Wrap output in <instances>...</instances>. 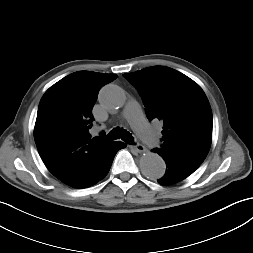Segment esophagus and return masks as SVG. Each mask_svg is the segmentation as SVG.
Masks as SVG:
<instances>
[{
  "label": "esophagus",
  "mask_w": 253,
  "mask_h": 253,
  "mask_svg": "<svg viewBox=\"0 0 253 253\" xmlns=\"http://www.w3.org/2000/svg\"><path fill=\"white\" fill-rule=\"evenodd\" d=\"M133 148L139 153H143L146 151V148L142 144H136L135 146H133Z\"/></svg>",
  "instance_id": "1"
}]
</instances>
